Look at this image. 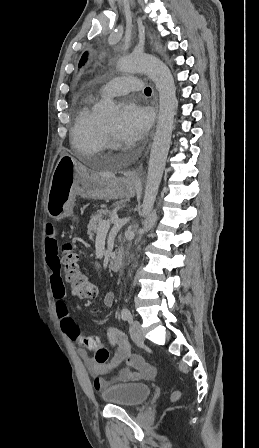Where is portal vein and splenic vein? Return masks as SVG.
<instances>
[{
  "instance_id": "18ae733b",
  "label": "portal vein and splenic vein",
  "mask_w": 259,
  "mask_h": 448,
  "mask_svg": "<svg viewBox=\"0 0 259 448\" xmlns=\"http://www.w3.org/2000/svg\"><path fill=\"white\" fill-rule=\"evenodd\" d=\"M114 220H118V216H115ZM110 228V220H103V222H100L98 228H97V234H107L108 230Z\"/></svg>"
}]
</instances>
